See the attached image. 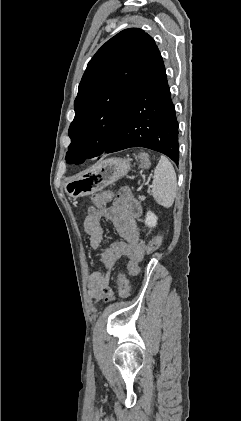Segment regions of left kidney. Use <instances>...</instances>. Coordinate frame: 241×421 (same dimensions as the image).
Returning a JSON list of instances; mask_svg holds the SVG:
<instances>
[{"instance_id":"5707ae66","label":"left kidney","mask_w":241,"mask_h":421,"mask_svg":"<svg viewBox=\"0 0 241 421\" xmlns=\"http://www.w3.org/2000/svg\"><path fill=\"white\" fill-rule=\"evenodd\" d=\"M157 216L152 213L151 211H148L146 214L145 224L148 227H155L157 225Z\"/></svg>"}]
</instances>
